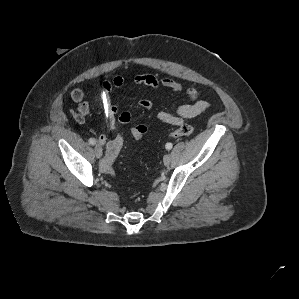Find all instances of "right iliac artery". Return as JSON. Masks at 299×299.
<instances>
[{
	"label": "right iliac artery",
	"mask_w": 299,
	"mask_h": 299,
	"mask_svg": "<svg viewBox=\"0 0 299 299\" xmlns=\"http://www.w3.org/2000/svg\"><path fill=\"white\" fill-rule=\"evenodd\" d=\"M88 142H89V144H91V145L96 144V140H95L94 138H90V139L88 140Z\"/></svg>",
	"instance_id": "obj_1"
}]
</instances>
